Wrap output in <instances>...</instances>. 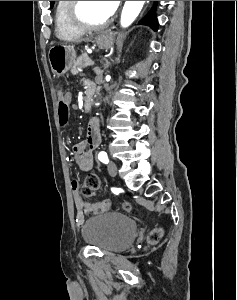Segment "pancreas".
I'll return each mask as SVG.
<instances>
[{
    "instance_id": "obj_1",
    "label": "pancreas",
    "mask_w": 237,
    "mask_h": 300,
    "mask_svg": "<svg viewBox=\"0 0 237 300\" xmlns=\"http://www.w3.org/2000/svg\"><path fill=\"white\" fill-rule=\"evenodd\" d=\"M91 61L90 57H88L87 53H84V55H80V57H78L77 61H75L72 69H71V73H75V75H77V73H82L83 69H85L86 66V62ZM93 62V61H92Z\"/></svg>"
}]
</instances>
